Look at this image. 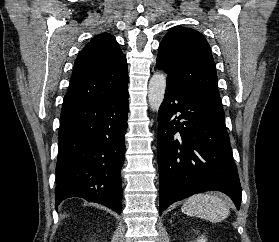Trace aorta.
Returning <instances> with one entry per match:
<instances>
[{"instance_id": "1", "label": "aorta", "mask_w": 279, "mask_h": 242, "mask_svg": "<svg viewBox=\"0 0 279 242\" xmlns=\"http://www.w3.org/2000/svg\"><path fill=\"white\" fill-rule=\"evenodd\" d=\"M166 75L160 72L155 73L148 85V102L153 111H158L165 94Z\"/></svg>"}]
</instances>
